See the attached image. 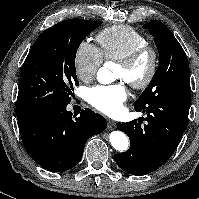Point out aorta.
<instances>
[{
	"mask_svg": "<svg viewBox=\"0 0 199 199\" xmlns=\"http://www.w3.org/2000/svg\"><path fill=\"white\" fill-rule=\"evenodd\" d=\"M97 79L100 83L107 84L112 80L111 72L107 68L102 67L97 73ZM109 139L113 148L118 151H125L129 146V140L127 136L121 131L111 132Z\"/></svg>",
	"mask_w": 199,
	"mask_h": 199,
	"instance_id": "aorta-1",
	"label": "aorta"
}]
</instances>
